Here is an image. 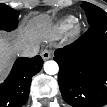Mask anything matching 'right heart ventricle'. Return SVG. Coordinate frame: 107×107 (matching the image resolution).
I'll return each instance as SVG.
<instances>
[{"label":"right heart ventricle","instance_id":"1","mask_svg":"<svg viewBox=\"0 0 107 107\" xmlns=\"http://www.w3.org/2000/svg\"><path fill=\"white\" fill-rule=\"evenodd\" d=\"M75 21V18L72 16L66 17L62 19L60 22L57 23V25L54 27L53 30V36L54 37H59L63 34H65Z\"/></svg>","mask_w":107,"mask_h":107}]
</instances>
